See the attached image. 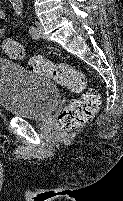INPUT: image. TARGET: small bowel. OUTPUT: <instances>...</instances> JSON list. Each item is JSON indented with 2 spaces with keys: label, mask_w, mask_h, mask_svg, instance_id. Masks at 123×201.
Listing matches in <instances>:
<instances>
[{
  "label": "small bowel",
  "mask_w": 123,
  "mask_h": 201,
  "mask_svg": "<svg viewBox=\"0 0 123 201\" xmlns=\"http://www.w3.org/2000/svg\"><path fill=\"white\" fill-rule=\"evenodd\" d=\"M6 21H7L6 13L4 11L0 10V22L2 23V26H0V37H2L5 34Z\"/></svg>",
  "instance_id": "c3829d8e"
}]
</instances>
